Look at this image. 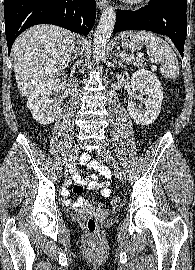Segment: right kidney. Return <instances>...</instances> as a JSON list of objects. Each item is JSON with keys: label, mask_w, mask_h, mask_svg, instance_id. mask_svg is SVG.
Returning <instances> with one entry per match:
<instances>
[{"label": "right kidney", "mask_w": 195, "mask_h": 270, "mask_svg": "<svg viewBox=\"0 0 195 270\" xmlns=\"http://www.w3.org/2000/svg\"><path fill=\"white\" fill-rule=\"evenodd\" d=\"M65 85V80L54 78L39 85L27 100V107L30 109L33 118L40 124L53 123L60 114V107L53 104L49 99L50 94L59 92Z\"/></svg>", "instance_id": "right-kidney-1"}]
</instances>
